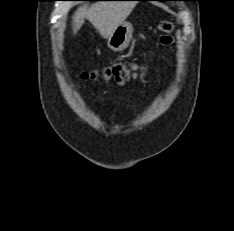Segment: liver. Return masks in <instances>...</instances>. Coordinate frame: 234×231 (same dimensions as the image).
<instances>
[{
    "mask_svg": "<svg viewBox=\"0 0 234 231\" xmlns=\"http://www.w3.org/2000/svg\"><path fill=\"white\" fill-rule=\"evenodd\" d=\"M136 3L131 1H101L91 5L84 4L74 15L72 27L74 34L87 19L103 38L108 39L117 27L124 23Z\"/></svg>",
    "mask_w": 234,
    "mask_h": 231,
    "instance_id": "liver-1",
    "label": "liver"
}]
</instances>
